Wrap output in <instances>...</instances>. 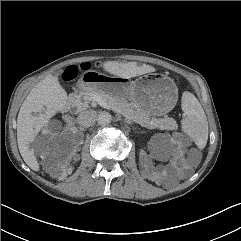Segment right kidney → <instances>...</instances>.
<instances>
[{"instance_id":"ca27d5eb","label":"right kidney","mask_w":241,"mask_h":241,"mask_svg":"<svg viewBox=\"0 0 241 241\" xmlns=\"http://www.w3.org/2000/svg\"><path fill=\"white\" fill-rule=\"evenodd\" d=\"M48 127L51 128V123L48 125H46V129L43 130V133H48L49 130H48Z\"/></svg>"}]
</instances>
